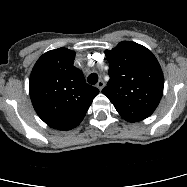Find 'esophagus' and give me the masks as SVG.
I'll return each instance as SVG.
<instances>
[{
    "mask_svg": "<svg viewBox=\"0 0 187 187\" xmlns=\"http://www.w3.org/2000/svg\"><path fill=\"white\" fill-rule=\"evenodd\" d=\"M105 86V83L103 80H99L96 84V87L99 89V90H102Z\"/></svg>",
    "mask_w": 187,
    "mask_h": 187,
    "instance_id": "esophagus-1",
    "label": "esophagus"
}]
</instances>
